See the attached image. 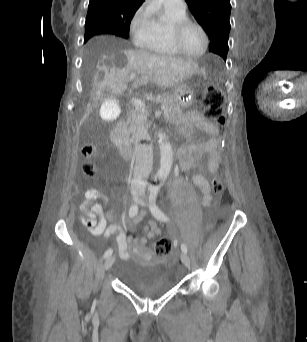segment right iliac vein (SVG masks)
Masks as SVG:
<instances>
[{
  "label": "right iliac vein",
  "mask_w": 307,
  "mask_h": 342,
  "mask_svg": "<svg viewBox=\"0 0 307 342\" xmlns=\"http://www.w3.org/2000/svg\"><path fill=\"white\" fill-rule=\"evenodd\" d=\"M138 199L136 198L135 201H137ZM115 261V255L109 256L103 266V271L106 272L110 269V267L112 266V264Z\"/></svg>",
  "instance_id": "1"
}]
</instances>
